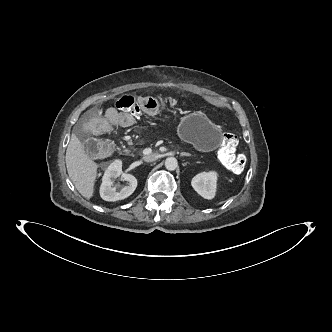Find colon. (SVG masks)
<instances>
[{
    "label": "colon",
    "mask_w": 332,
    "mask_h": 332,
    "mask_svg": "<svg viewBox=\"0 0 332 332\" xmlns=\"http://www.w3.org/2000/svg\"><path fill=\"white\" fill-rule=\"evenodd\" d=\"M119 111L126 112L131 118H137L141 124L152 121L153 114L143 111L138 105V99L130 95L119 98L115 104ZM237 137L231 133H224L221 138L219 159L223 166L232 173H240L245 166V157L236 152ZM88 154L94 157H103L109 153V145L105 142L88 141L85 144Z\"/></svg>",
    "instance_id": "1"
}]
</instances>
